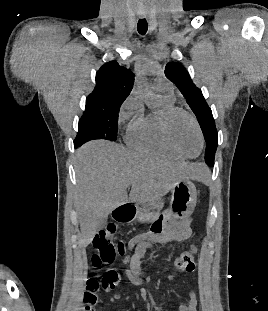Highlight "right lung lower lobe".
Here are the masks:
<instances>
[{"label": "right lung lower lobe", "instance_id": "obj_1", "mask_svg": "<svg viewBox=\"0 0 268 311\" xmlns=\"http://www.w3.org/2000/svg\"><path fill=\"white\" fill-rule=\"evenodd\" d=\"M80 146H81V144L74 143V147H75V148H78V147H80Z\"/></svg>", "mask_w": 268, "mask_h": 311}]
</instances>
